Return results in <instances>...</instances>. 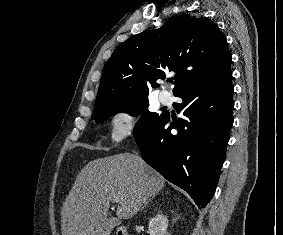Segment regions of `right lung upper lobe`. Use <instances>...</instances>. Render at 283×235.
<instances>
[{
    "instance_id": "right-lung-upper-lobe-1",
    "label": "right lung upper lobe",
    "mask_w": 283,
    "mask_h": 235,
    "mask_svg": "<svg viewBox=\"0 0 283 235\" xmlns=\"http://www.w3.org/2000/svg\"><path fill=\"white\" fill-rule=\"evenodd\" d=\"M225 35L204 17L173 16L159 29L143 31L121 43L108 60L96 104L148 96L158 79L176 72L173 94L230 72Z\"/></svg>"
}]
</instances>
